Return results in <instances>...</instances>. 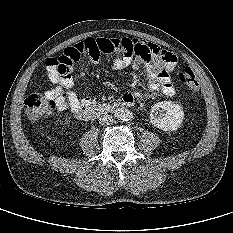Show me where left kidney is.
I'll return each instance as SVG.
<instances>
[{"instance_id": "left-kidney-1", "label": "left kidney", "mask_w": 233, "mask_h": 233, "mask_svg": "<svg viewBox=\"0 0 233 233\" xmlns=\"http://www.w3.org/2000/svg\"><path fill=\"white\" fill-rule=\"evenodd\" d=\"M160 115H157L159 112ZM183 108L172 101H162L151 108L150 122L163 131L177 130L183 121Z\"/></svg>"}]
</instances>
